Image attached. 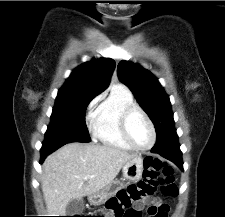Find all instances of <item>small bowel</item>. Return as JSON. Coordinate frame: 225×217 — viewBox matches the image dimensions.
I'll use <instances>...</instances> for the list:
<instances>
[{"instance_id": "small-bowel-1", "label": "small bowel", "mask_w": 225, "mask_h": 217, "mask_svg": "<svg viewBox=\"0 0 225 217\" xmlns=\"http://www.w3.org/2000/svg\"><path fill=\"white\" fill-rule=\"evenodd\" d=\"M160 205H162L160 200H158V199H152L151 200V206L159 207ZM134 207L139 211L143 207V202L136 203L134 205Z\"/></svg>"}]
</instances>
